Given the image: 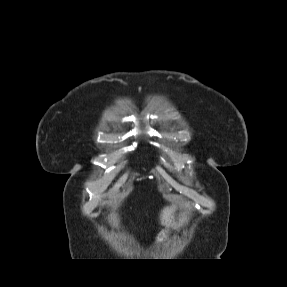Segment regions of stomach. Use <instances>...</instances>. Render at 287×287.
<instances>
[{"label":"stomach","instance_id":"stomach-1","mask_svg":"<svg viewBox=\"0 0 287 287\" xmlns=\"http://www.w3.org/2000/svg\"><path fill=\"white\" fill-rule=\"evenodd\" d=\"M172 226V222L171 220H168L165 224V229L162 230L158 236H157V241L158 242H162L166 237H167V233L169 231V228Z\"/></svg>","mask_w":287,"mask_h":287}]
</instances>
